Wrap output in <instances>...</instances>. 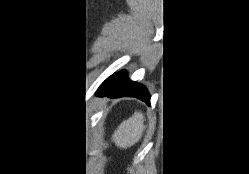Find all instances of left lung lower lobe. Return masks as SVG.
<instances>
[{"mask_svg":"<svg viewBox=\"0 0 249 174\" xmlns=\"http://www.w3.org/2000/svg\"><path fill=\"white\" fill-rule=\"evenodd\" d=\"M97 95L109 97H136L150 104V95L147 89L140 84L131 82L122 71L107 78L98 88Z\"/></svg>","mask_w":249,"mask_h":174,"instance_id":"left-lung-lower-lobe-1","label":"left lung lower lobe"}]
</instances>
